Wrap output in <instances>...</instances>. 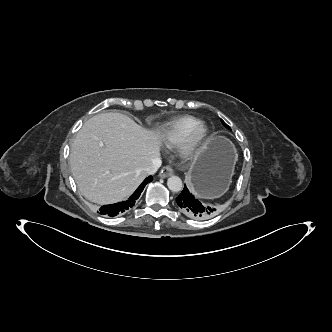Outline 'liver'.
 I'll return each instance as SVG.
<instances>
[{"mask_svg": "<svg viewBox=\"0 0 332 332\" xmlns=\"http://www.w3.org/2000/svg\"><path fill=\"white\" fill-rule=\"evenodd\" d=\"M163 135L121 113L90 118L71 146L70 166L81 194L104 205L127 199L159 157Z\"/></svg>", "mask_w": 332, "mask_h": 332, "instance_id": "liver-1", "label": "liver"}]
</instances>
